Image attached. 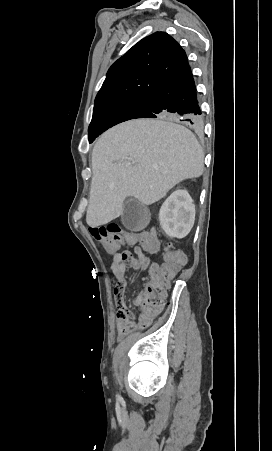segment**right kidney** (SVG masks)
<instances>
[{
	"label": "right kidney",
	"mask_w": 272,
	"mask_h": 451,
	"mask_svg": "<svg viewBox=\"0 0 272 451\" xmlns=\"http://www.w3.org/2000/svg\"><path fill=\"white\" fill-rule=\"evenodd\" d=\"M160 226L170 237H185L194 226L195 206L186 190L173 192L159 212Z\"/></svg>",
	"instance_id": "1"
}]
</instances>
